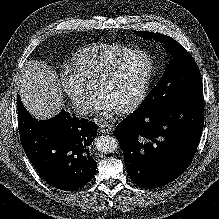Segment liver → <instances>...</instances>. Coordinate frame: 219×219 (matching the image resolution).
I'll list each match as a JSON object with an SVG mask.
<instances>
[{
    "label": "liver",
    "instance_id": "1",
    "mask_svg": "<svg viewBox=\"0 0 219 219\" xmlns=\"http://www.w3.org/2000/svg\"><path fill=\"white\" fill-rule=\"evenodd\" d=\"M17 85L23 105L38 120L50 119L61 111L62 89L56 73L46 63L26 62L17 77Z\"/></svg>",
    "mask_w": 219,
    "mask_h": 219
}]
</instances>
